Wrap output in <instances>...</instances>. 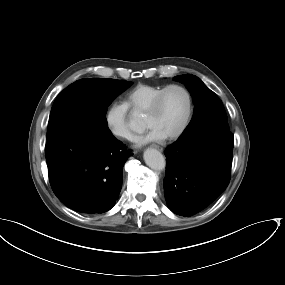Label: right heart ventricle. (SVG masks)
<instances>
[{
  "label": "right heart ventricle",
  "mask_w": 285,
  "mask_h": 285,
  "mask_svg": "<svg viewBox=\"0 0 285 285\" xmlns=\"http://www.w3.org/2000/svg\"><path fill=\"white\" fill-rule=\"evenodd\" d=\"M163 85L138 84L123 98V105L132 114L144 113Z\"/></svg>",
  "instance_id": "right-heart-ventricle-1"
}]
</instances>
